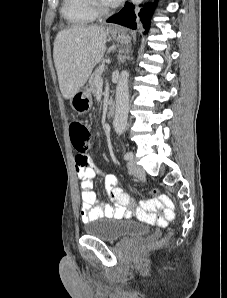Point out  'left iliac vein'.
<instances>
[{"mask_svg":"<svg viewBox=\"0 0 227 298\" xmlns=\"http://www.w3.org/2000/svg\"><path fill=\"white\" fill-rule=\"evenodd\" d=\"M128 169L134 176L137 177H140L145 173L144 169L139 166L133 158L128 163Z\"/></svg>","mask_w":227,"mask_h":298,"instance_id":"obj_1","label":"left iliac vein"}]
</instances>
